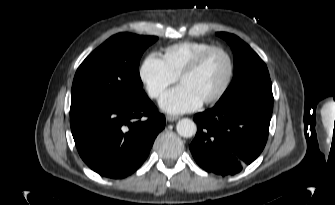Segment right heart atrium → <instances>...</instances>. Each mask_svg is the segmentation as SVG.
I'll use <instances>...</instances> for the list:
<instances>
[{"label":"right heart atrium","instance_id":"obj_1","mask_svg":"<svg viewBox=\"0 0 335 205\" xmlns=\"http://www.w3.org/2000/svg\"><path fill=\"white\" fill-rule=\"evenodd\" d=\"M139 78L147 94L153 99L159 98L178 79L156 53L145 57L139 68Z\"/></svg>","mask_w":335,"mask_h":205}]
</instances>
